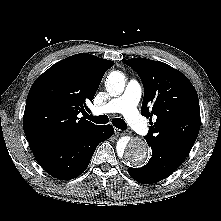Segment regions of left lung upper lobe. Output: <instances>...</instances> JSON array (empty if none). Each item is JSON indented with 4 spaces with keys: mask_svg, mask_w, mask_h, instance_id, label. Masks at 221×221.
<instances>
[{
    "mask_svg": "<svg viewBox=\"0 0 221 221\" xmlns=\"http://www.w3.org/2000/svg\"><path fill=\"white\" fill-rule=\"evenodd\" d=\"M140 76L144 85L142 115L150 122L147 143L165 146L185 157L200 130L197 92L188 78L171 66L145 58L124 62Z\"/></svg>",
    "mask_w": 221,
    "mask_h": 221,
    "instance_id": "obj_1",
    "label": "left lung upper lobe"
}]
</instances>
